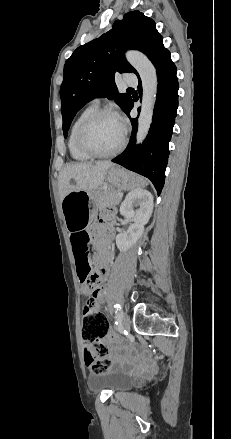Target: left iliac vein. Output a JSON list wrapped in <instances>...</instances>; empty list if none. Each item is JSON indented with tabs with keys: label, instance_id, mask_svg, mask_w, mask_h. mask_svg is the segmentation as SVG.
Masks as SVG:
<instances>
[{
	"label": "left iliac vein",
	"instance_id": "left-iliac-vein-1",
	"mask_svg": "<svg viewBox=\"0 0 231 439\" xmlns=\"http://www.w3.org/2000/svg\"><path fill=\"white\" fill-rule=\"evenodd\" d=\"M121 322H122V328L125 331H129L130 330V320L129 317L127 316V314L125 312L121 311Z\"/></svg>",
	"mask_w": 231,
	"mask_h": 439
}]
</instances>
